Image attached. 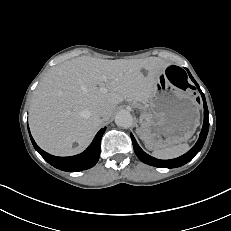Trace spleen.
<instances>
[{
    "label": "spleen",
    "mask_w": 231,
    "mask_h": 231,
    "mask_svg": "<svg viewBox=\"0 0 231 231\" xmlns=\"http://www.w3.org/2000/svg\"><path fill=\"white\" fill-rule=\"evenodd\" d=\"M190 146L187 143L178 144L171 147L156 149L152 155L158 159H172L179 157L189 150Z\"/></svg>",
    "instance_id": "1"
}]
</instances>
